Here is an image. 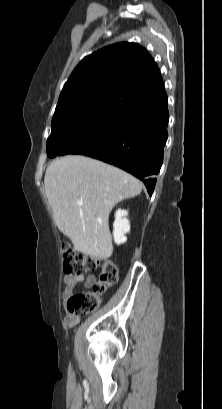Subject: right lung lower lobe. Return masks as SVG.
<instances>
[{"mask_svg": "<svg viewBox=\"0 0 222 409\" xmlns=\"http://www.w3.org/2000/svg\"><path fill=\"white\" fill-rule=\"evenodd\" d=\"M167 95L121 105L101 145L87 154L136 176L151 196L168 137Z\"/></svg>", "mask_w": 222, "mask_h": 409, "instance_id": "obj_1", "label": "right lung lower lobe"}]
</instances>
